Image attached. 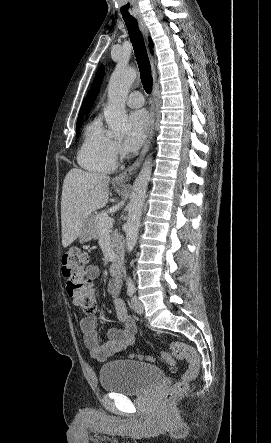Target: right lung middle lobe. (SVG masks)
I'll list each match as a JSON object with an SVG mask.
<instances>
[{
  "label": "right lung middle lobe",
  "mask_w": 271,
  "mask_h": 443,
  "mask_svg": "<svg viewBox=\"0 0 271 443\" xmlns=\"http://www.w3.org/2000/svg\"><path fill=\"white\" fill-rule=\"evenodd\" d=\"M82 120H77L76 131L78 132L81 126Z\"/></svg>",
  "instance_id": "1"
}]
</instances>
